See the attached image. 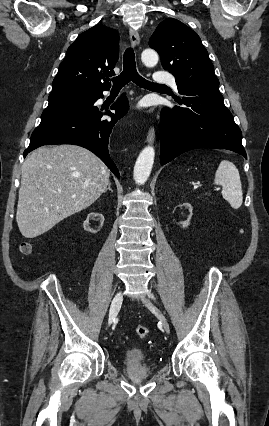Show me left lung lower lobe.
<instances>
[{
	"mask_svg": "<svg viewBox=\"0 0 269 426\" xmlns=\"http://www.w3.org/2000/svg\"><path fill=\"white\" fill-rule=\"evenodd\" d=\"M180 105L163 108L160 121V163L197 148L228 149L243 155L242 136L223 102L219 86L179 92Z\"/></svg>",
	"mask_w": 269,
	"mask_h": 426,
	"instance_id": "left-lung-lower-lobe-1",
	"label": "left lung lower lobe"
}]
</instances>
